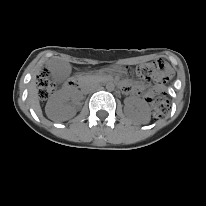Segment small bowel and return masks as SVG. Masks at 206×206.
<instances>
[{
    "mask_svg": "<svg viewBox=\"0 0 206 206\" xmlns=\"http://www.w3.org/2000/svg\"><path fill=\"white\" fill-rule=\"evenodd\" d=\"M158 87H162V83L160 82V80L158 81Z\"/></svg>",
    "mask_w": 206,
    "mask_h": 206,
    "instance_id": "c3829d8e",
    "label": "small bowel"
}]
</instances>
